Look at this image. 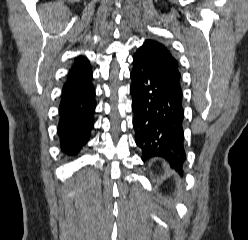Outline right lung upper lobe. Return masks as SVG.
<instances>
[{"label":"right lung upper lobe","mask_w":248,"mask_h":240,"mask_svg":"<svg viewBox=\"0 0 248 240\" xmlns=\"http://www.w3.org/2000/svg\"><path fill=\"white\" fill-rule=\"evenodd\" d=\"M89 69H91V67L87 59L83 56H79L75 58V62L68 73V78L81 74Z\"/></svg>","instance_id":"right-lung-upper-lobe-1"}]
</instances>
